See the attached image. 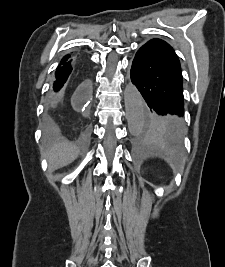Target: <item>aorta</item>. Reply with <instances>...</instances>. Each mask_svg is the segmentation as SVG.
<instances>
[{
  "instance_id": "1",
  "label": "aorta",
  "mask_w": 225,
  "mask_h": 267,
  "mask_svg": "<svg viewBox=\"0 0 225 267\" xmlns=\"http://www.w3.org/2000/svg\"><path fill=\"white\" fill-rule=\"evenodd\" d=\"M124 101L129 130L136 135L144 123V100L136 87L128 84L124 91Z\"/></svg>"
}]
</instances>
